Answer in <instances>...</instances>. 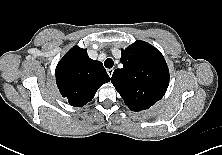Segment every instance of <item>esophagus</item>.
I'll use <instances>...</instances> for the list:
<instances>
[{"mask_svg":"<svg viewBox=\"0 0 222 155\" xmlns=\"http://www.w3.org/2000/svg\"><path fill=\"white\" fill-rule=\"evenodd\" d=\"M114 70L112 68L107 69V73L110 77H112Z\"/></svg>","mask_w":222,"mask_h":155,"instance_id":"1","label":"esophagus"}]
</instances>
